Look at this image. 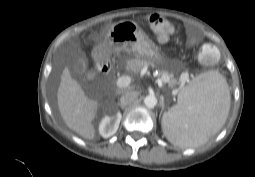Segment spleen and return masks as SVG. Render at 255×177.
<instances>
[{"mask_svg": "<svg viewBox=\"0 0 255 177\" xmlns=\"http://www.w3.org/2000/svg\"><path fill=\"white\" fill-rule=\"evenodd\" d=\"M230 91L217 71L198 75L178 95V103L165 112L162 128L166 138L182 148L205 143L219 131L229 114Z\"/></svg>", "mask_w": 255, "mask_h": 177, "instance_id": "spleen-1", "label": "spleen"}]
</instances>
